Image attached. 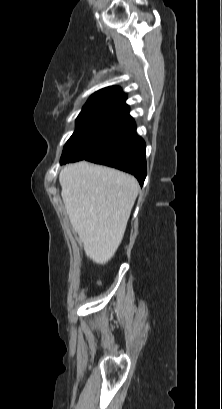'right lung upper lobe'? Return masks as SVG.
<instances>
[{
	"label": "right lung upper lobe",
	"instance_id": "obj_1",
	"mask_svg": "<svg viewBox=\"0 0 222 409\" xmlns=\"http://www.w3.org/2000/svg\"><path fill=\"white\" fill-rule=\"evenodd\" d=\"M125 100L120 87H107L94 93L83 109L124 107L128 110Z\"/></svg>",
	"mask_w": 222,
	"mask_h": 409
}]
</instances>
